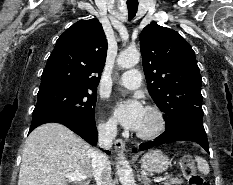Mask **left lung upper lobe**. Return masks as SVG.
<instances>
[{"label": "left lung upper lobe", "instance_id": "5c2ea615", "mask_svg": "<svg viewBox=\"0 0 233 185\" xmlns=\"http://www.w3.org/2000/svg\"><path fill=\"white\" fill-rule=\"evenodd\" d=\"M140 49L148 91L164 112L166 128L201 108L202 80L195 53L178 32L151 22L140 34Z\"/></svg>", "mask_w": 233, "mask_h": 185}]
</instances>
